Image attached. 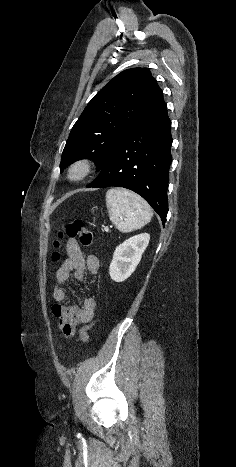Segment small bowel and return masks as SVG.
Returning <instances> with one entry per match:
<instances>
[{
  "mask_svg": "<svg viewBox=\"0 0 236 467\" xmlns=\"http://www.w3.org/2000/svg\"><path fill=\"white\" fill-rule=\"evenodd\" d=\"M66 250L67 258L56 272L53 297L57 303L52 307V313L57 319L59 330L64 336L71 338L76 334L80 324L92 321L95 315L96 301L93 297L84 296L82 308L74 304H63L62 302L66 298L63 285L68 281L71 273L78 281L84 279L86 271L92 274L97 273L100 261L95 255L84 257L81 247L75 240L68 241Z\"/></svg>",
  "mask_w": 236,
  "mask_h": 467,
  "instance_id": "obj_1",
  "label": "small bowel"
}]
</instances>
